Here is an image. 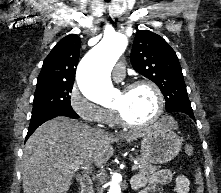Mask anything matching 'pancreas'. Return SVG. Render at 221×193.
<instances>
[{
  "label": "pancreas",
  "mask_w": 221,
  "mask_h": 193,
  "mask_svg": "<svg viewBox=\"0 0 221 193\" xmlns=\"http://www.w3.org/2000/svg\"><path fill=\"white\" fill-rule=\"evenodd\" d=\"M134 160H136L138 162L137 163V170L142 175L149 176L150 174H153L154 172H156L160 168V166H153L152 164H150L149 162H147L143 158L138 157Z\"/></svg>",
  "instance_id": "cf45deb5"
}]
</instances>
